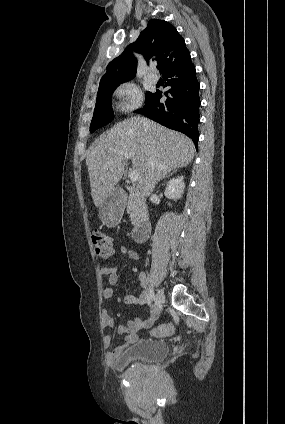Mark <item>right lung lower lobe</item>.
Returning a JSON list of instances; mask_svg holds the SVG:
<instances>
[{
  "instance_id": "1",
  "label": "right lung lower lobe",
  "mask_w": 285,
  "mask_h": 424,
  "mask_svg": "<svg viewBox=\"0 0 285 424\" xmlns=\"http://www.w3.org/2000/svg\"><path fill=\"white\" fill-rule=\"evenodd\" d=\"M163 78L171 88L162 93L156 91L143 108L135 111L170 129L182 132L193 140L197 147L199 138V88L195 67L191 58L167 71ZM165 96L167 99L160 103Z\"/></svg>"
}]
</instances>
